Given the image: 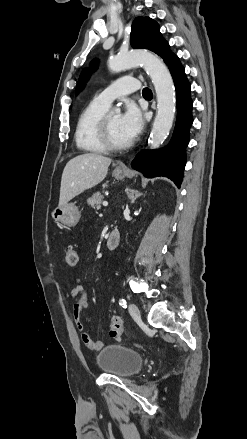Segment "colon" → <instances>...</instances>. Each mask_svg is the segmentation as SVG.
Segmentation results:
<instances>
[{
    "instance_id": "1",
    "label": "colon",
    "mask_w": 247,
    "mask_h": 439,
    "mask_svg": "<svg viewBox=\"0 0 247 439\" xmlns=\"http://www.w3.org/2000/svg\"><path fill=\"white\" fill-rule=\"evenodd\" d=\"M65 260L68 265L75 266L78 263L77 252L73 248H68L65 253ZM123 322L118 315H114L110 324V335L113 338H119L122 334Z\"/></svg>"
}]
</instances>
